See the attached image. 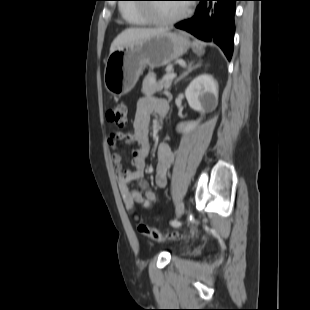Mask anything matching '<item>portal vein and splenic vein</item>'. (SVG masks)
Segmentation results:
<instances>
[{
    "instance_id": "portal-vein-and-splenic-vein-1",
    "label": "portal vein and splenic vein",
    "mask_w": 310,
    "mask_h": 310,
    "mask_svg": "<svg viewBox=\"0 0 310 310\" xmlns=\"http://www.w3.org/2000/svg\"><path fill=\"white\" fill-rule=\"evenodd\" d=\"M175 77H176L175 73H169L162 79V81L173 80Z\"/></svg>"
}]
</instances>
